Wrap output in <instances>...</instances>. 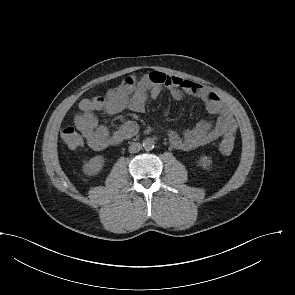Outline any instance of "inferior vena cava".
<instances>
[{
    "mask_svg": "<svg viewBox=\"0 0 295 295\" xmlns=\"http://www.w3.org/2000/svg\"><path fill=\"white\" fill-rule=\"evenodd\" d=\"M142 149V145L140 143H131V145L129 146V152L130 153H137Z\"/></svg>",
    "mask_w": 295,
    "mask_h": 295,
    "instance_id": "obj_1",
    "label": "inferior vena cava"
}]
</instances>
